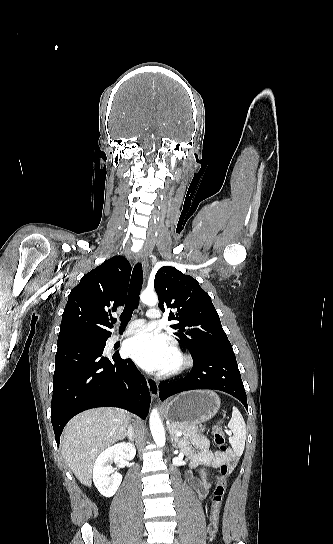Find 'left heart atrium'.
Listing matches in <instances>:
<instances>
[{"instance_id": "1", "label": "left heart atrium", "mask_w": 333, "mask_h": 544, "mask_svg": "<svg viewBox=\"0 0 333 544\" xmlns=\"http://www.w3.org/2000/svg\"><path fill=\"white\" fill-rule=\"evenodd\" d=\"M124 352L143 369L159 371L167 368L172 347L163 337L144 330L125 341Z\"/></svg>"}]
</instances>
